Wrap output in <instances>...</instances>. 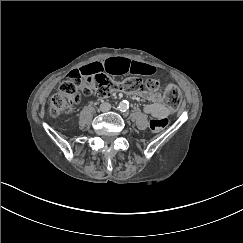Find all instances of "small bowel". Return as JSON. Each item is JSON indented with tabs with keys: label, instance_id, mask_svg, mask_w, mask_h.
<instances>
[{
	"label": "small bowel",
	"instance_id": "c3829d8e",
	"mask_svg": "<svg viewBox=\"0 0 243 243\" xmlns=\"http://www.w3.org/2000/svg\"><path fill=\"white\" fill-rule=\"evenodd\" d=\"M79 71L83 73L107 72L112 75H121L128 72L140 75H151L156 72V68L146 63L118 57L90 63L80 68ZM142 96L150 101V103L144 107V111L155 118H166L173 113L170 108L162 104L158 94L144 91L142 92Z\"/></svg>",
	"mask_w": 243,
	"mask_h": 243
}]
</instances>
